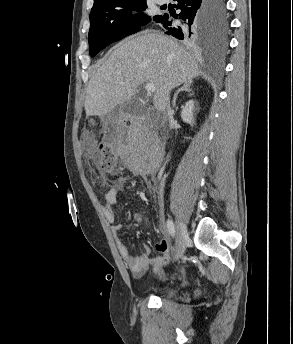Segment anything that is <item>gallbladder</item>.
Here are the masks:
<instances>
[{
    "mask_svg": "<svg viewBox=\"0 0 293 344\" xmlns=\"http://www.w3.org/2000/svg\"><path fill=\"white\" fill-rule=\"evenodd\" d=\"M119 110L122 111V112H131L133 114H137L140 109L137 105L135 104H125V105H121L119 107Z\"/></svg>",
    "mask_w": 293,
    "mask_h": 344,
    "instance_id": "bac80fb5",
    "label": "gallbladder"
}]
</instances>
